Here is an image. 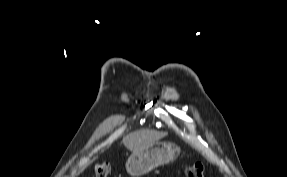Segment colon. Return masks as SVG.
I'll return each instance as SVG.
<instances>
[{"label":"colon","instance_id":"5ec220e1","mask_svg":"<svg viewBox=\"0 0 287 177\" xmlns=\"http://www.w3.org/2000/svg\"><path fill=\"white\" fill-rule=\"evenodd\" d=\"M111 164L107 161L98 162L95 165V177H108L110 174ZM186 177H204V167L201 163H195L188 166L185 170Z\"/></svg>","mask_w":287,"mask_h":177}]
</instances>
